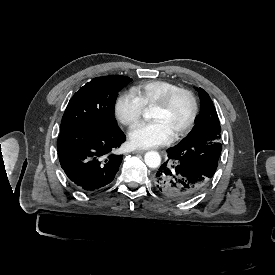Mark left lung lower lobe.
Masks as SVG:
<instances>
[{
  "mask_svg": "<svg viewBox=\"0 0 275 275\" xmlns=\"http://www.w3.org/2000/svg\"><path fill=\"white\" fill-rule=\"evenodd\" d=\"M166 161L154 176L155 188L169 199L180 201L203 193L211 183L208 177L183 162L172 158Z\"/></svg>",
  "mask_w": 275,
  "mask_h": 275,
  "instance_id": "obj_1",
  "label": "left lung lower lobe"
}]
</instances>
